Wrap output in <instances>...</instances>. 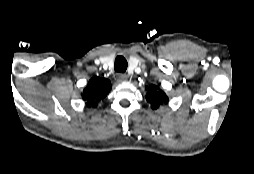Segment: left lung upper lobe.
<instances>
[{
    "label": "left lung upper lobe",
    "instance_id": "1",
    "mask_svg": "<svg viewBox=\"0 0 254 174\" xmlns=\"http://www.w3.org/2000/svg\"><path fill=\"white\" fill-rule=\"evenodd\" d=\"M146 90L148 91L146 100L151 103L152 109H157L163 103L168 102L166 94L162 90H159L157 86L150 85L149 87H146Z\"/></svg>",
    "mask_w": 254,
    "mask_h": 174
}]
</instances>
